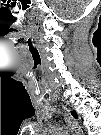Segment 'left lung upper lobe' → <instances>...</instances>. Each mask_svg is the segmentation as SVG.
Wrapping results in <instances>:
<instances>
[{"label": "left lung upper lobe", "mask_w": 101, "mask_h": 135, "mask_svg": "<svg viewBox=\"0 0 101 135\" xmlns=\"http://www.w3.org/2000/svg\"><path fill=\"white\" fill-rule=\"evenodd\" d=\"M72 114H73V116H74V117H76V114H75V112H73Z\"/></svg>", "instance_id": "left-lung-upper-lobe-1"}]
</instances>
